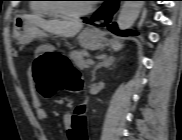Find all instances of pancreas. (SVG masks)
Masks as SVG:
<instances>
[{
	"label": "pancreas",
	"mask_w": 182,
	"mask_h": 140,
	"mask_svg": "<svg viewBox=\"0 0 182 140\" xmlns=\"http://www.w3.org/2000/svg\"><path fill=\"white\" fill-rule=\"evenodd\" d=\"M85 52L84 51H72L69 55L70 59L74 61V63L80 68V69H86L88 67L87 61L84 59Z\"/></svg>",
	"instance_id": "1"
}]
</instances>
